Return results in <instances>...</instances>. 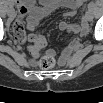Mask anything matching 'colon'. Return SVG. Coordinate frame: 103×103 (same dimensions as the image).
<instances>
[{"instance_id":"5ec220e1","label":"colon","mask_w":103,"mask_h":103,"mask_svg":"<svg viewBox=\"0 0 103 103\" xmlns=\"http://www.w3.org/2000/svg\"><path fill=\"white\" fill-rule=\"evenodd\" d=\"M55 63V56L53 54H48L40 60L39 65L43 69H50L55 65Z\"/></svg>"}]
</instances>
